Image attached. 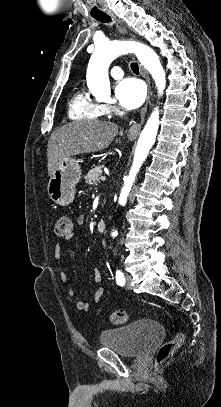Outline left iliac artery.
Returning <instances> with one entry per match:
<instances>
[{
  "mask_svg": "<svg viewBox=\"0 0 221 407\" xmlns=\"http://www.w3.org/2000/svg\"><path fill=\"white\" fill-rule=\"evenodd\" d=\"M116 283L119 286H124V284H125L124 274L120 270H118L116 272Z\"/></svg>",
  "mask_w": 221,
  "mask_h": 407,
  "instance_id": "44dca946",
  "label": "left iliac artery"
}]
</instances>
